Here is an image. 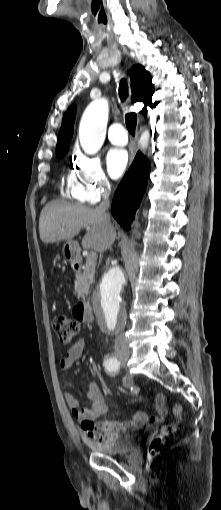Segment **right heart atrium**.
<instances>
[{
	"instance_id": "obj_1",
	"label": "right heart atrium",
	"mask_w": 221,
	"mask_h": 510,
	"mask_svg": "<svg viewBox=\"0 0 221 510\" xmlns=\"http://www.w3.org/2000/svg\"><path fill=\"white\" fill-rule=\"evenodd\" d=\"M68 188L78 202L95 204L110 193L111 183L98 157L79 153L68 175Z\"/></svg>"
}]
</instances>
